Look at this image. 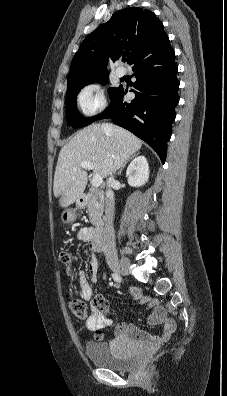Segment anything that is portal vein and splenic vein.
Instances as JSON below:
<instances>
[{"instance_id":"obj_1","label":"portal vein and splenic vein","mask_w":227,"mask_h":396,"mask_svg":"<svg viewBox=\"0 0 227 396\" xmlns=\"http://www.w3.org/2000/svg\"><path fill=\"white\" fill-rule=\"evenodd\" d=\"M80 166L87 170H93V168H94L93 163H91L89 161L81 162ZM102 182H103V178L99 174H94L92 181H91L92 186L99 187L102 184Z\"/></svg>"}]
</instances>
